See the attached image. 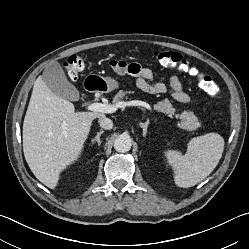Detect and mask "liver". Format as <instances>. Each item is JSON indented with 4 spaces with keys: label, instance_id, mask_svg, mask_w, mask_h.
I'll list each match as a JSON object with an SVG mask.
<instances>
[{
    "label": "liver",
    "instance_id": "liver-1",
    "mask_svg": "<svg viewBox=\"0 0 249 249\" xmlns=\"http://www.w3.org/2000/svg\"><path fill=\"white\" fill-rule=\"evenodd\" d=\"M99 112H77L74 105L53 93L39 77L23 123V151L35 177L54 189L60 173L78 160Z\"/></svg>",
    "mask_w": 249,
    "mask_h": 249
}]
</instances>
